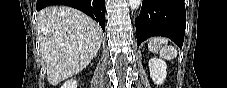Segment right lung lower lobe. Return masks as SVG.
<instances>
[{
  "label": "right lung lower lobe",
  "mask_w": 227,
  "mask_h": 88,
  "mask_svg": "<svg viewBox=\"0 0 227 88\" xmlns=\"http://www.w3.org/2000/svg\"><path fill=\"white\" fill-rule=\"evenodd\" d=\"M56 4L67 5L86 13L105 31V0H37L36 8L39 11Z\"/></svg>",
  "instance_id": "1"
}]
</instances>
